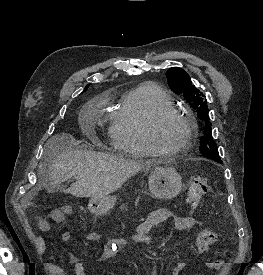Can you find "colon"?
<instances>
[{"label":"colon","mask_w":263,"mask_h":275,"mask_svg":"<svg viewBox=\"0 0 263 275\" xmlns=\"http://www.w3.org/2000/svg\"><path fill=\"white\" fill-rule=\"evenodd\" d=\"M212 185L205 178H196L190 185L188 192V202L192 209H196L201 202V199L212 192ZM65 214L62 211L56 210L50 214V219L54 222H62ZM216 241V236L212 231H202L196 239V249L203 252L209 249ZM223 265L222 260H214L208 263L210 269H219Z\"/></svg>","instance_id":"colon-1"}]
</instances>
